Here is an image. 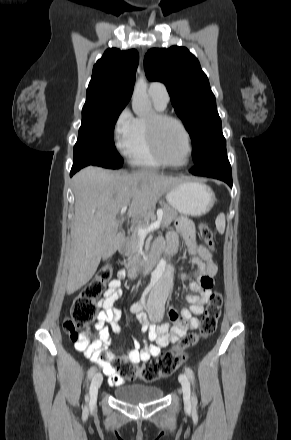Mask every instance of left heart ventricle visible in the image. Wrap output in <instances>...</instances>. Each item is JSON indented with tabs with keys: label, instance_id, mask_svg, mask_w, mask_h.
<instances>
[{
	"label": "left heart ventricle",
	"instance_id": "1",
	"mask_svg": "<svg viewBox=\"0 0 291 440\" xmlns=\"http://www.w3.org/2000/svg\"><path fill=\"white\" fill-rule=\"evenodd\" d=\"M157 138L160 151L167 161L181 163L186 159V138L177 124L171 121L163 123Z\"/></svg>",
	"mask_w": 291,
	"mask_h": 440
}]
</instances>
